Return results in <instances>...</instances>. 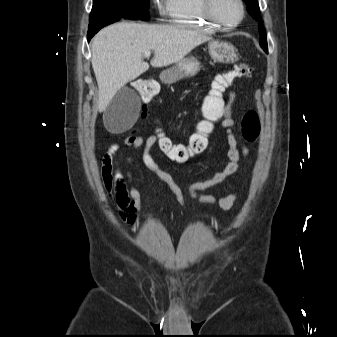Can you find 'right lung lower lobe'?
Returning <instances> with one entry per match:
<instances>
[{
	"label": "right lung lower lobe",
	"instance_id": "right-lung-lower-lobe-1",
	"mask_svg": "<svg viewBox=\"0 0 337 337\" xmlns=\"http://www.w3.org/2000/svg\"><path fill=\"white\" fill-rule=\"evenodd\" d=\"M117 20H106V21H100L93 25L89 26L88 34H87V40L90 41V39L104 26H107Z\"/></svg>",
	"mask_w": 337,
	"mask_h": 337
}]
</instances>
